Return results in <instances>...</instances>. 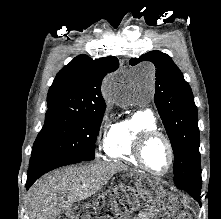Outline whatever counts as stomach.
Instances as JSON below:
<instances>
[{"label": "stomach", "mask_w": 221, "mask_h": 219, "mask_svg": "<svg viewBox=\"0 0 221 219\" xmlns=\"http://www.w3.org/2000/svg\"><path fill=\"white\" fill-rule=\"evenodd\" d=\"M140 183H150L155 190H146L148 204H161V199H171L170 190H164L162 185L155 181V178H140Z\"/></svg>", "instance_id": "0dacf381"}]
</instances>
